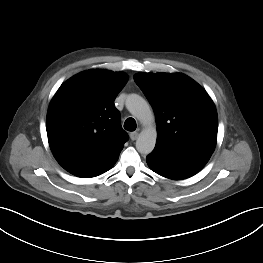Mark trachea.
I'll return each mask as SVG.
<instances>
[{"label": "trachea", "mask_w": 263, "mask_h": 263, "mask_svg": "<svg viewBox=\"0 0 263 263\" xmlns=\"http://www.w3.org/2000/svg\"><path fill=\"white\" fill-rule=\"evenodd\" d=\"M124 129L127 131H135L136 130V121L134 118L126 119L124 123Z\"/></svg>", "instance_id": "1"}]
</instances>
